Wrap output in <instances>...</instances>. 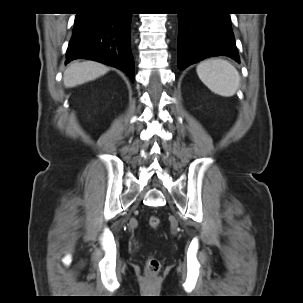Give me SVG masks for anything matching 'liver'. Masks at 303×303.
<instances>
[{"instance_id":"obj_1","label":"liver","mask_w":303,"mask_h":303,"mask_svg":"<svg viewBox=\"0 0 303 303\" xmlns=\"http://www.w3.org/2000/svg\"><path fill=\"white\" fill-rule=\"evenodd\" d=\"M109 71L103 64L94 61L72 62L64 72V86L75 87L88 81H92Z\"/></svg>"}]
</instances>
